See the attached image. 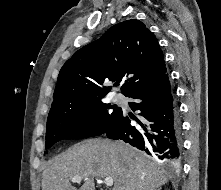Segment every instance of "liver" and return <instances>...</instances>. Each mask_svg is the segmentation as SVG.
I'll list each match as a JSON object with an SVG mask.
<instances>
[{
    "mask_svg": "<svg viewBox=\"0 0 221 190\" xmlns=\"http://www.w3.org/2000/svg\"><path fill=\"white\" fill-rule=\"evenodd\" d=\"M80 176L77 189L70 179ZM113 179L112 190H156L168 178L150 157L119 141L90 139L56 156L42 174V190H95L94 178Z\"/></svg>",
    "mask_w": 221,
    "mask_h": 190,
    "instance_id": "6515ba94",
    "label": "liver"
}]
</instances>
